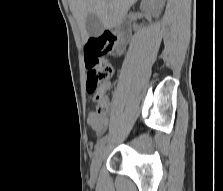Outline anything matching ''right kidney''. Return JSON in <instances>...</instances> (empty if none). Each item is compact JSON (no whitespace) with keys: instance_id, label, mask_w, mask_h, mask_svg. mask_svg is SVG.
I'll use <instances>...</instances> for the list:
<instances>
[{"instance_id":"right-kidney-1","label":"right kidney","mask_w":223,"mask_h":191,"mask_svg":"<svg viewBox=\"0 0 223 191\" xmlns=\"http://www.w3.org/2000/svg\"><path fill=\"white\" fill-rule=\"evenodd\" d=\"M163 3L164 1L162 0H143V2H142V4H141V8L142 9H147V8H149V7H151V6H155L156 4H158V3Z\"/></svg>"}]
</instances>
